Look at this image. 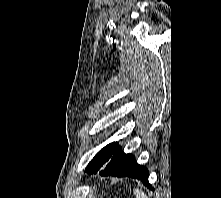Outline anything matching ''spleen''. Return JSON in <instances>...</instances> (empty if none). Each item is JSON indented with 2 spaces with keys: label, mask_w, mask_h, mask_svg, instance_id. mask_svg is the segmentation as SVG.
Wrapping results in <instances>:
<instances>
[{
  "label": "spleen",
  "mask_w": 221,
  "mask_h": 198,
  "mask_svg": "<svg viewBox=\"0 0 221 198\" xmlns=\"http://www.w3.org/2000/svg\"><path fill=\"white\" fill-rule=\"evenodd\" d=\"M134 194H135L136 198H147L145 196V194L142 191L138 190V189H134Z\"/></svg>",
  "instance_id": "3e777b00"
}]
</instances>
